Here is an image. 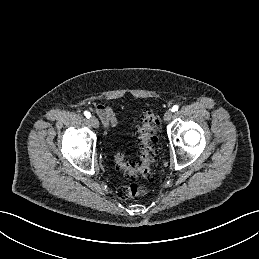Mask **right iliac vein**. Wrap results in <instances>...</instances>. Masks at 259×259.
<instances>
[{"mask_svg":"<svg viewBox=\"0 0 259 259\" xmlns=\"http://www.w3.org/2000/svg\"><path fill=\"white\" fill-rule=\"evenodd\" d=\"M90 123L92 124V126H93L94 128H98V127H99V121H98V119H97L96 117H94V116H92V117L90 118Z\"/></svg>","mask_w":259,"mask_h":259,"instance_id":"obj_1","label":"right iliac vein"}]
</instances>
